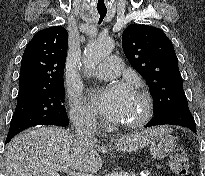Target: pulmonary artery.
<instances>
[{"mask_svg": "<svg viewBox=\"0 0 205 176\" xmlns=\"http://www.w3.org/2000/svg\"><path fill=\"white\" fill-rule=\"evenodd\" d=\"M123 71V64L118 56H110L100 62L91 72L94 77L109 79L118 77Z\"/></svg>", "mask_w": 205, "mask_h": 176, "instance_id": "pulmonary-artery-1", "label": "pulmonary artery"}]
</instances>
